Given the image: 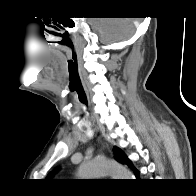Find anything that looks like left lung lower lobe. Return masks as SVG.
<instances>
[{"label": "left lung lower lobe", "mask_w": 196, "mask_h": 196, "mask_svg": "<svg viewBox=\"0 0 196 196\" xmlns=\"http://www.w3.org/2000/svg\"><path fill=\"white\" fill-rule=\"evenodd\" d=\"M131 168L134 170L135 174H136V175H138L137 170H136V169H134L132 166H131Z\"/></svg>", "instance_id": "obj_1"}]
</instances>
